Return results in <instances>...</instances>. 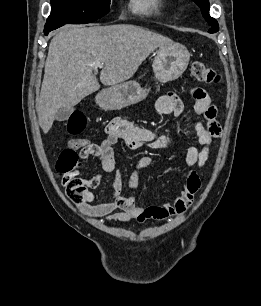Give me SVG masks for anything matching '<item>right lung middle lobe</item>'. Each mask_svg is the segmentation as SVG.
Instances as JSON below:
<instances>
[{
    "label": "right lung middle lobe",
    "instance_id": "dd1d6c3e",
    "mask_svg": "<svg viewBox=\"0 0 261 306\" xmlns=\"http://www.w3.org/2000/svg\"><path fill=\"white\" fill-rule=\"evenodd\" d=\"M110 11V0H51L47 23L85 24L96 21Z\"/></svg>",
    "mask_w": 261,
    "mask_h": 306
}]
</instances>
